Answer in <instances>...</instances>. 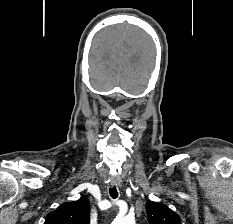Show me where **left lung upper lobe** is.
<instances>
[{
  "mask_svg": "<svg viewBox=\"0 0 233 224\" xmlns=\"http://www.w3.org/2000/svg\"><path fill=\"white\" fill-rule=\"evenodd\" d=\"M146 212L150 224H181L179 215L161 203L148 201Z\"/></svg>",
  "mask_w": 233,
  "mask_h": 224,
  "instance_id": "1",
  "label": "left lung upper lobe"
}]
</instances>
